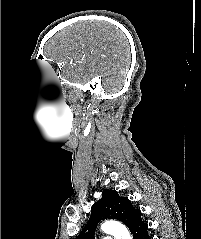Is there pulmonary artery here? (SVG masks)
<instances>
[{
    "label": "pulmonary artery",
    "mask_w": 201,
    "mask_h": 239,
    "mask_svg": "<svg viewBox=\"0 0 201 239\" xmlns=\"http://www.w3.org/2000/svg\"><path fill=\"white\" fill-rule=\"evenodd\" d=\"M103 239H114L112 236H105Z\"/></svg>",
    "instance_id": "pulmonary-artery-1"
}]
</instances>
